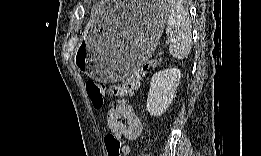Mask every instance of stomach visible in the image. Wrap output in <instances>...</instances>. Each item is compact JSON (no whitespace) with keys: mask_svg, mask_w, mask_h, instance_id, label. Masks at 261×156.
<instances>
[{"mask_svg":"<svg viewBox=\"0 0 261 156\" xmlns=\"http://www.w3.org/2000/svg\"><path fill=\"white\" fill-rule=\"evenodd\" d=\"M168 13L164 2L139 1L125 21L105 23L102 14L95 17L77 52V65L98 81L125 79L153 55Z\"/></svg>","mask_w":261,"mask_h":156,"instance_id":"0dacf381","label":"stomach"}]
</instances>
